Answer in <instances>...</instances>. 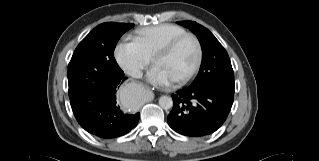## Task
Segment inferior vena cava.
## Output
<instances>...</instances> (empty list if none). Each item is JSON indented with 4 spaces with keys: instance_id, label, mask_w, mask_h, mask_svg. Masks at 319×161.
Masks as SVG:
<instances>
[{
    "instance_id": "602c4592",
    "label": "inferior vena cava",
    "mask_w": 319,
    "mask_h": 161,
    "mask_svg": "<svg viewBox=\"0 0 319 161\" xmlns=\"http://www.w3.org/2000/svg\"><path fill=\"white\" fill-rule=\"evenodd\" d=\"M127 74L134 78H141L143 75L142 71L138 68H131L127 70Z\"/></svg>"
}]
</instances>
